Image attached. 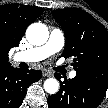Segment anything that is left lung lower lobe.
Instances as JSON below:
<instances>
[{"label":"left lung lower lobe","mask_w":108,"mask_h":108,"mask_svg":"<svg viewBox=\"0 0 108 108\" xmlns=\"http://www.w3.org/2000/svg\"><path fill=\"white\" fill-rule=\"evenodd\" d=\"M107 89L108 70L77 73L75 78L60 82V90L47 99L48 107L97 108Z\"/></svg>","instance_id":"left-lung-lower-lobe-1"}]
</instances>
